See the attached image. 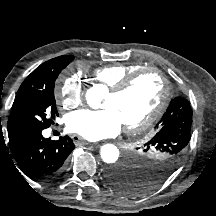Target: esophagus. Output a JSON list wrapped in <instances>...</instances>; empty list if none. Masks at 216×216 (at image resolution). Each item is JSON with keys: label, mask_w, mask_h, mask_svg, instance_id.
Instances as JSON below:
<instances>
[{"label": "esophagus", "mask_w": 216, "mask_h": 216, "mask_svg": "<svg viewBox=\"0 0 216 216\" xmlns=\"http://www.w3.org/2000/svg\"><path fill=\"white\" fill-rule=\"evenodd\" d=\"M73 139V142L75 144H80V145H87L88 141H86L83 137L79 136V135H72L71 137Z\"/></svg>", "instance_id": "obj_1"}]
</instances>
